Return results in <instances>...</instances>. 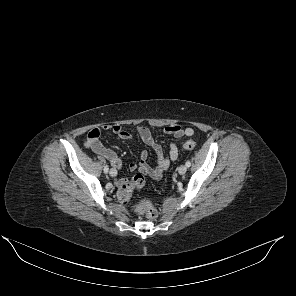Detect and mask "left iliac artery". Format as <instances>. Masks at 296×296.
Instances as JSON below:
<instances>
[{"label":"left iliac artery","instance_id":"left-iliac-artery-1","mask_svg":"<svg viewBox=\"0 0 296 296\" xmlns=\"http://www.w3.org/2000/svg\"><path fill=\"white\" fill-rule=\"evenodd\" d=\"M186 167H190L191 166V162L188 160L186 163H185Z\"/></svg>","mask_w":296,"mask_h":296}]
</instances>
